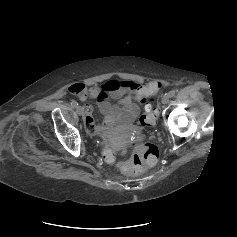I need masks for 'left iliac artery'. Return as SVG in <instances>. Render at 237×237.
I'll use <instances>...</instances> for the list:
<instances>
[{
    "label": "left iliac artery",
    "mask_w": 237,
    "mask_h": 237,
    "mask_svg": "<svg viewBox=\"0 0 237 237\" xmlns=\"http://www.w3.org/2000/svg\"><path fill=\"white\" fill-rule=\"evenodd\" d=\"M174 95H175V91H173V90L168 93L169 97H173Z\"/></svg>",
    "instance_id": "1"
}]
</instances>
